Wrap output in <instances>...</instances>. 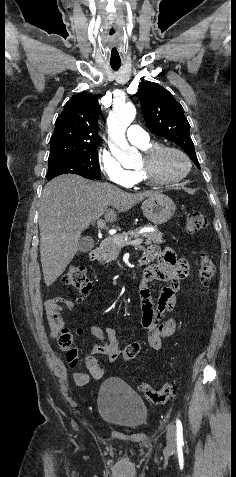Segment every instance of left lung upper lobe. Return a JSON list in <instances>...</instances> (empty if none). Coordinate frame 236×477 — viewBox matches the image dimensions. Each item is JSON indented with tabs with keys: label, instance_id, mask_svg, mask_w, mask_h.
I'll return each mask as SVG.
<instances>
[{
	"label": "left lung upper lobe",
	"instance_id": "1",
	"mask_svg": "<svg viewBox=\"0 0 236 477\" xmlns=\"http://www.w3.org/2000/svg\"><path fill=\"white\" fill-rule=\"evenodd\" d=\"M139 100L147 128L180 146L200 169L189 122L171 93L156 83L145 82L139 87Z\"/></svg>",
	"mask_w": 236,
	"mask_h": 477
}]
</instances>
